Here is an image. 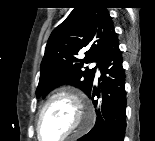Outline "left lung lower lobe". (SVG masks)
I'll list each match as a JSON object with an SVG mask.
<instances>
[{
	"label": "left lung lower lobe",
	"instance_id": "1",
	"mask_svg": "<svg viewBox=\"0 0 155 141\" xmlns=\"http://www.w3.org/2000/svg\"><path fill=\"white\" fill-rule=\"evenodd\" d=\"M98 67L101 77L98 80L100 90L90 89L87 96L92 99L96 108V123L89 133L80 141H124L126 129V92L125 73L122 66V55L117 35H114L105 48ZM95 95L101 97L94 100ZM119 101L116 111L112 102Z\"/></svg>",
	"mask_w": 155,
	"mask_h": 141
}]
</instances>
